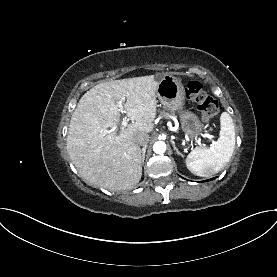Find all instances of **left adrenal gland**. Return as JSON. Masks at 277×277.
<instances>
[{
	"label": "left adrenal gland",
	"mask_w": 277,
	"mask_h": 277,
	"mask_svg": "<svg viewBox=\"0 0 277 277\" xmlns=\"http://www.w3.org/2000/svg\"><path fill=\"white\" fill-rule=\"evenodd\" d=\"M171 143L173 145V148H174V151L180 155L181 157H183V154L177 149L176 145H175V142L173 140H171Z\"/></svg>",
	"instance_id": "a2214340"
}]
</instances>
